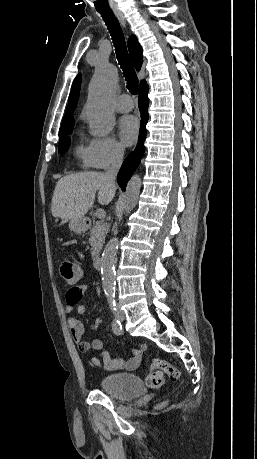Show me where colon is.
<instances>
[{"mask_svg":"<svg viewBox=\"0 0 257 459\" xmlns=\"http://www.w3.org/2000/svg\"><path fill=\"white\" fill-rule=\"evenodd\" d=\"M59 271L68 284L76 283L83 275L79 264L67 260L60 263ZM179 376V371L169 362L163 359H154L150 364L145 382L148 387L160 388L165 384L167 377L175 381Z\"/></svg>","mask_w":257,"mask_h":459,"instance_id":"obj_1","label":"colon"}]
</instances>
